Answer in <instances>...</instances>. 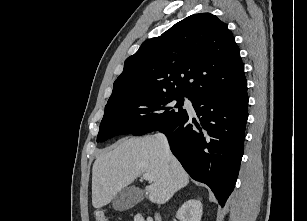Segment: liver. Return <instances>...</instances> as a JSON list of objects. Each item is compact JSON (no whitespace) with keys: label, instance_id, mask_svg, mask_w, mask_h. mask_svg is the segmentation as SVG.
Instances as JSON below:
<instances>
[{"label":"liver","instance_id":"obj_1","mask_svg":"<svg viewBox=\"0 0 307 221\" xmlns=\"http://www.w3.org/2000/svg\"><path fill=\"white\" fill-rule=\"evenodd\" d=\"M155 180L146 190L149 200L164 204L175 192L187 186L189 176L179 161L156 136L121 140L112 149L102 152L92 168V205L106 206L123 188L141 174Z\"/></svg>","mask_w":307,"mask_h":221}]
</instances>
